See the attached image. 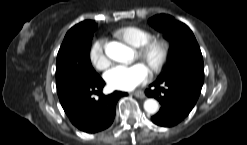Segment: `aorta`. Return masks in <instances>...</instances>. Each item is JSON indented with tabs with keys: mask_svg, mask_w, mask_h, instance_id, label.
Wrapping results in <instances>:
<instances>
[{
	"mask_svg": "<svg viewBox=\"0 0 247 145\" xmlns=\"http://www.w3.org/2000/svg\"><path fill=\"white\" fill-rule=\"evenodd\" d=\"M107 57L118 62H127L130 60L132 50L126 45L112 41L105 45ZM159 109V104L155 99H147L144 102V110L149 114H155Z\"/></svg>",
	"mask_w": 247,
	"mask_h": 145,
	"instance_id": "aorta-1",
	"label": "aorta"
}]
</instances>
